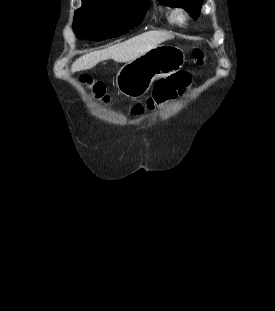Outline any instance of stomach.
I'll list each match as a JSON object with an SVG mask.
<instances>
[{"label":"stomach","instance_id":"obj_1","mask_svg":"<svg viewBox=\"0 0 275 311\" xmlns=\"http://www.w3.org/2000/svg\"><path fill=\"white\" fill-rule=\"evenodd\" d=\"M185 63V54L174 45H160L127 62L116 75V87L128 97H140L158 77L178 72Z\"/></svg>","mask_w":275,"mask_h":311}]
</instances>
